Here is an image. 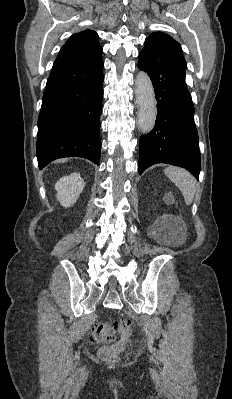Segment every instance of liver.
I'll use <instances>...</instances> for the list:
<instances>
[{
	"label": "liver",
	"mask_w": 232,
	"mask_h": 399,
	"mask_svg": "<svg viewBox=\"0 0 232 399\" xmlns=\"http://www.w3.org/2000/svg\"><path fill=\"white\" fill-rule=\"evenodd\" d=\"M67 160H70V158H64V160H57V162H61V164H64V162H67Z\"/></svg>",
	"instance_id": "liver-1"
}]
</instances>
